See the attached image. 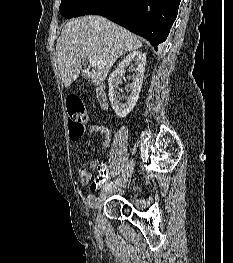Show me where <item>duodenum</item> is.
Here are the masks:
<instances>
[{"mask_svg":"<svg viewBox=\"0 0 233 263\" xmlns=\"http://www.w3.org/2000/svg\"><path fill=\"white\" fill-rule=\"evenodd\" d=\"M96 97L98 104L102 109H106L108 106L107 96L102 86H98L96 89Z\"/></svg>","mask_w":233,"mask_h":263,"instance_id":"410a0bca","label":"duodenum"}]
</instances>
